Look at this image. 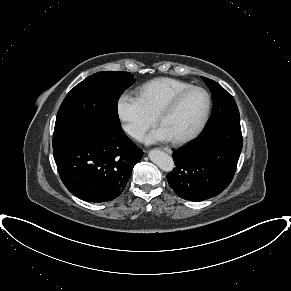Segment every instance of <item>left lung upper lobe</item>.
I'll list each match as a JSON object with an SVG mask.
<instances>
[{"label":"left lung upper lobe","mask_w":291,"mask_h":291,"mask_svg":"<svg viewBox=\"0 0 291 291\" xmlns=\"http://www.w3.org/2000/svg\"><path fill=\"white\" fill-rule=\"evenodd\" d=\"M210 88L213 100V111L203 133L220 125H240V115L234 98L218 83L202 77Z\"/></svg>","instance_id":"1"}]
</instances>
